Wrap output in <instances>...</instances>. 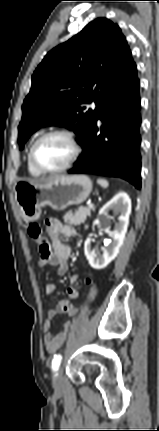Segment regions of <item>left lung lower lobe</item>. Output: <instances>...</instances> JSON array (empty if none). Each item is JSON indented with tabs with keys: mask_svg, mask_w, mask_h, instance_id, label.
Instances as JSON below:
<instances>
[{
	"mask_svg": "<svg viewBox=\"0 0 159 431\" xmlns=\"http://www.w3.org/2000/svg\"><path fill=\"white\" fill-rule=\"evenodd\" d=\"M140 126L139 79L133 62L97 109L80 143L83 153L68 173L118 177L140 189Z\"/></svg>",
	"mask_w": 159,
	"mask_h": 431,
	"instance_id": "0a47b994",
	"label": "left lung lower lobe"
}]
</instances>
